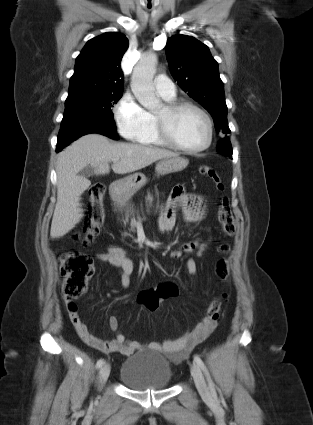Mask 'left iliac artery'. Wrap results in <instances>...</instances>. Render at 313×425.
Masks as SVG:
<instances>
[{
    "mask_svg": "<svg viewBox=\"0 0 313 425\" xmlns=\"http://www.w3.org/2000/svg\"><path fill=\"white\" fill-rule=\"evenodd\" d=\"M194 361L197 363V365L204 372V374H205V376L208 380V383H209L210 392H211L212 396L215 397L216 396L215 385H214V383H213V381H212V379L209 375V372H208L206 366L204 365L203 361L201 360V358L198 355L194 356Z\"/></svg>",
    "mask_w": 313,
    "mask_h": 425,
    "instance_id": "1",
    "label": "left iliac artery"
}]
</instances>
